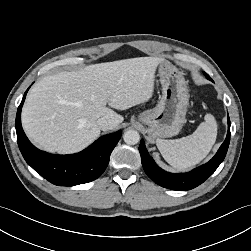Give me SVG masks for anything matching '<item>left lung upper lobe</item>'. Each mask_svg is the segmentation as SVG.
Listing matches in <instances>:
<instances>
[{
	"instance_id": "left-lung-upper-lobe-1",
	"label": "left lung upper lobe",
	"mask_w": 251,
	"mask_h": 251,
	"mask_svg": "<svg viewBox=\"0 0 251 251\" xmlns=\"http://www.w3.org/2000/svg\"><path fill=\"white\" fill-rule=\"evenodd\" d=\"M205 75H206V77L208 78V79H210V77L206 74V73H204Z\"/></svg>"
}]
</instances>
